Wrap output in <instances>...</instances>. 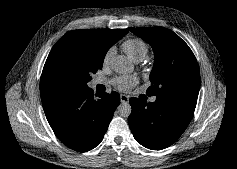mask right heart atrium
Masks as SVG:
<instances>
[{
  "mask_svg": "<svg viewBox=\"0 0 237 169\" xmlns=\"http://www.w3.org/2000/svg\"><path fill=\"white\" fill-rule=\"evenodd\" d=\"M115 49L110 47L106 50L104 57H103V64L108 65L110 63L111 57L114 54Z\"/></svg>",
  "mask_w": 237,
  "mask_h": 169,
  "instance_id": "obj_1",
  "label": "right heart atrium"
}]
</instances>
